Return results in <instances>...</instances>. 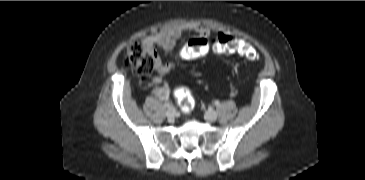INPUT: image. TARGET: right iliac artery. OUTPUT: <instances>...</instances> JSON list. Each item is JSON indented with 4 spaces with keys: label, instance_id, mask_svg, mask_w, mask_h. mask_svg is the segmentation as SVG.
<instances>
[{
    "label": "right iliac artery",
    "instance_id": "82829eb1",
    "mask_svg": "<svg viewBox=\"0 0 365 180\" xmlns=\"http://www.w3.org/2000/svg\"><path fill=\"white\" fill-rule=\"evenodd\" d=\"M164 106H165V107H169V106H170V103H169V102H165V103H164Z\"/></svg>",
    "mask_w": 365,
    "mask_h": 180
}]
</instances>
